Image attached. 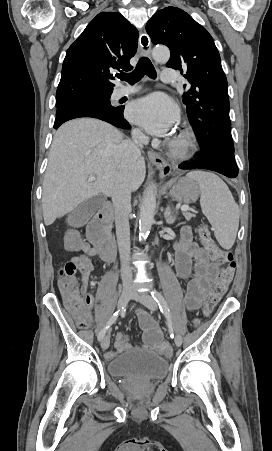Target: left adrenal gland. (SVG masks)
Returning <instances> with one entry per match:
<instances>
[{
	"label": "left adrenal gland",
	"mask_w": 272,
	"mask_h": 451,
	"mask_svg": "<svg viewBox=\"0 0 272 451\" xmlns=\"http://www.w3.org/2000/svg\"><path fill=\"white\" fill-rule=\"evenodd\" d=\"M173 214H174V212H171L170 206H167V208L164 212L166 224H174V222L176 220V214H175V216H173Z\"/></svg>",
	"instance_id": "a2214340"
}]
</instances>
